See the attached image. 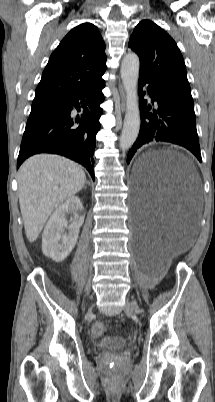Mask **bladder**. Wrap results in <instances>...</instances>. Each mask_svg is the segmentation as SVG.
Wrapping results in <instances>:
<instances>
[{"label":"bladder","mask_w":215,"mask_h":402,"mask_svg":"<svg viewBox=\"0 0 215 402\" xmlns=\"http://www.w3.org/2000/svg\"><path fill=\"white\" fill-rule=\"evenodd\" d=\"M99 346L109 350H121L128 346V342L121 337H106L99 342Z\"/></svg>","instance_id":"bladder-1"}]
</instances>
